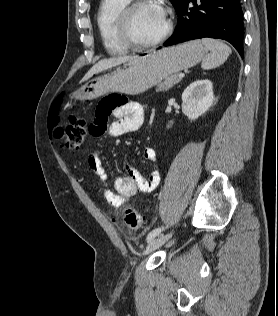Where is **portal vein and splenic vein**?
I'll use <instances>...</instances> for the list:
<instances>
[{
  "label": "portal vein and splenic vein",
  "mask_w": 278,
  "mask_h": 316,
  "mask_svg": "<svg viewBox=\"0 0 278 316\" xmlns=\"http://www.w3.org/2000/svg\"><path fill=\"white\" fill-rule=\"evenodd\" d=\"M178 77H179L180 79H183V78L185 77V75H184L183 73H180V74L178 75Z\"/></svg>",
  "instance_id": "1"
}]
</instances>
